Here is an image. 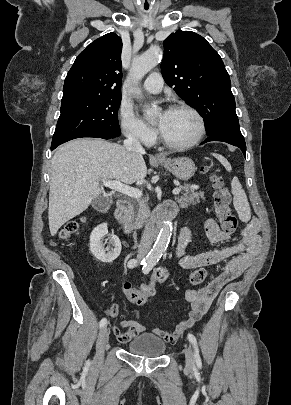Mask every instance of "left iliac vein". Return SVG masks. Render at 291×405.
<instances>
[{
  "label": "left iliac vein",
  "instance_id": "obj_1",
  "mask_svg": "<svg viewBox=\"0 0 291 405\" xmlns=\"http://www.w3.org/2000/svg\"><path fill=\"white\" fill-rule=\"evenodd\" d=\"M186 369L191 370L193 366V352L190 346H186L184 349Z\"/></svg>",
  "mask_w": 291,
  "mask_h": 405
}]
</instances>
